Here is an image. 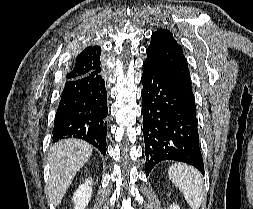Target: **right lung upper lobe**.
I'll return each instance as SVG.
<instances>
[{"label":"right lung upper lobe","instance_id":"cb5924a9","mask_svg":"<svg viewBox=\"0 0 253 209\" xmlns=\"http://www.w3.org/2000/svg\"><path fill=\"white\" fill-rule=\"evenodd\" d=\"M99 70H102L101 48L88 46L74 59L66 80L77 79Z\"/></svg>","mask_w":253,"mask_h":209}]
</instances>
